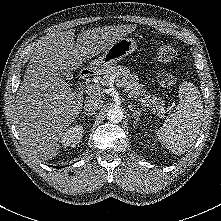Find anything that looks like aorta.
Instances as JSON below:
<instances>
[{"instance_id": "aorta-1", "label": "aorta", "mask_w": 221, "mask_h": 221, "mask_svg": "<svg viewBox=\"0 0 221 221\" xmlns=\"http://www.w3.org/2000/svg\"><path fill=\"white\" fill-rule=\"evenodd\" d=\"M107 119L112 123L121 122L123 119V112L120 108L114 107L108 110Z\"/></svg>"}]
</instances>
